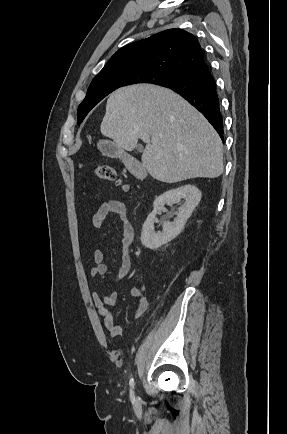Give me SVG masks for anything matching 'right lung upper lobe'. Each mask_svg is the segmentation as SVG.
I'll return each mask as SVG.
<instances>
[{"label":"right lung upper lobe","mask_w":287,"mask_h":434,"mask_svg":"<svg viewBox=\"0 0 287 434\" xmlns=\"http://www.w3.org/2000/svg\"><path fill=\"white\" fill-rule=\"evenodd\" d=\"M204 61L194 35L182 29H169L120 48L93 80L147 71L182 75Z\"/></svg>","instance_id":"right-lung-upper-lobe-1"}]
</instances>
